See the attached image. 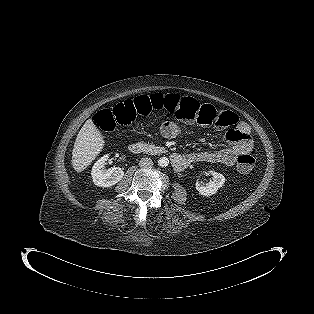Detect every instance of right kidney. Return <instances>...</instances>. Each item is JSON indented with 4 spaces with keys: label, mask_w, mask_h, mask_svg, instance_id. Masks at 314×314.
<instances>
[{
    "label": "right kidney",
    "mask_w": 314,
    "mask_h": 314,
    "mask_svg": "<svg viewBox=\"0 0 314 314\" xmlns=\"http://www.w3.org/2000/svg\"><path fill=\"white\" fill-rule=\"evenodd\" d=\"M108 158V155H104L92 167L91 175L93 182L99 187H111L118 183L124 176V172L120 167L105 168Z\"/></svg>",
    "instance_id": "right-kidney-1"
}]
</instances>
